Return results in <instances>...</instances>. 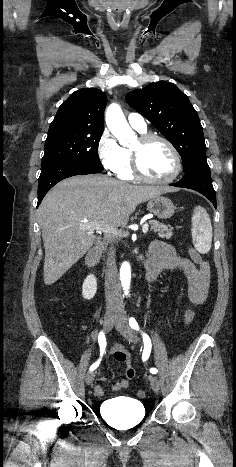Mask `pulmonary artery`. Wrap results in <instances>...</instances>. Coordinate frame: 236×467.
<instances>
[{
    "label": "pulmonary artery",
    "mask_w": 236,
    "mask_h": 467,
    "mask_svg": "<svg viewBox=\"0 0 236 467\" xmlns=\"http://www.w3.org/2000/svg\"><path fill=\"white\" fill-rule=\"evenodd\" d=\"M128 122L131 127L138 130L139 132L147 131V123L144 117L139 113H130L128 115Z\"/></svg>",
    "instance_id": "e3ab8cb5"
}]
</instances>
